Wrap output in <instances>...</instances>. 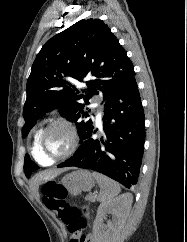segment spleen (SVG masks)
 <instances>
[{"instance_id":"obj_1","label":"spleen","mask_w":187,"mask_h":242,"mask_svg":"<svg viewBox=\"0 0 187 242\" xmlns=\"http://www.w3.org/2000/svg\"><path fill=\"white\" fill-rule=\"evenodd\" d=\"M92 176L96 179L100 187L98 201L100 202L109 201L120 193L121 191L120 186L114 180L97 172H93Z\"/></svg>"}]
</instances>
